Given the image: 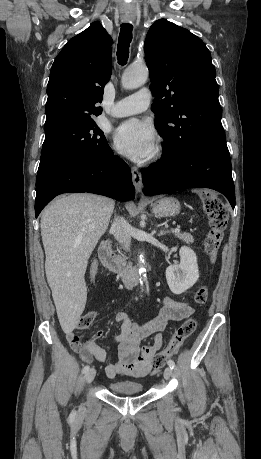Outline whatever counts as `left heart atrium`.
<instances>
[{"label":"left heart atrium","instance_id":"39dd6f15","mask_svg":"<svg viewBox=\"0 0 261 459\" xmlns=\"http://www.w3.org/2000/svg\"><path fill=\"white\" fill-rule=\"evenodd\" d=\"M115 148L129 159L141 162L154 151L156 134L153 126L140 119L122 122L113 133Z\"/></svg>","mask_w":261,"mask_h":459}]
</instances>
